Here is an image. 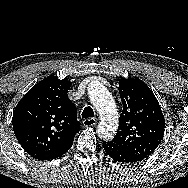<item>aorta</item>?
<instances>
[{"label": "aorta", "mask_w": 188, "mask_h": 188, "mask_svg": "<svg viewBox=\"0 0 188 188\" xmlns=\"http://www.w3.org/2000/svg\"><path fill=\"white\" fill-rule=\"evenodd\" d=\"M88 93L93 106L100 115L97 134L103 140L114 137L118 127V110L107 88L99 81H92Z\"/></svg>", "instance_id": "obj_1"}]
</instances>
